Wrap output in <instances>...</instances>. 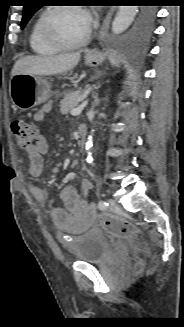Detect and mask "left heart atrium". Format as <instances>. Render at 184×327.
<instances>
[{"instance_id":"1","label":"left heart atrium","mask_w":184,"mask_h":327,"mask_svg":"<svg viewBox=\"0 0 184 327\" xmlns=\"http://www.w3.org/2000/svg\"><path fill=\"white\" fill-rule=\"evenodd\" d=\"M83 12L85 14V17H86L88 23L90 24L91 23V17H90V15L87 12H85V11H83Z\"/></svg>"}]
</instances>
